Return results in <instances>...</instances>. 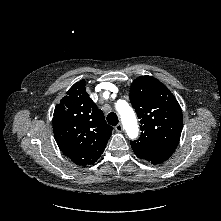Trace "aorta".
I'll use <instances>...</instances> for the list:
<instances>
[{
  "label": "aorta",
  "instance_id": "762f6f07",
  "mask_svg": "<svg viewBox=\"0 0 221 221\" xmlns=\"http://www.w3.org/2000/svg\"><path fill=\"white\" fill-rule=\"evenodd\" d=\"M122 120V124L130 138L138 135V123L133 109L126 101H119L116 105Z\"/></svg>",
  "mask_w": 221,
  "mask_h": 221
}]
</instances>
